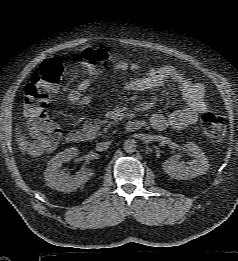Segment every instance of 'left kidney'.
Masks as SVG:
<instances>
[{
  "label": "left kidney",
  "instance_id": "5707ae66",
  "mask_svg": "<svg viewBox=\"0 0 238 261\" xmlns=\"http://www.w3.org/2000/svg\"><path fill=\"white\" fill-rule=\"evenodd\" d=\"M184 147L194 156L190 166L182 164L179 156L175 155L163 163V171L178 180H188L205 174L208 171L209 162L201 149L193 142H187Z\"/></svg>",
  "mask_w": 238,
  "mask_h": 261
}]
</instances>
